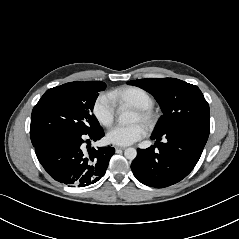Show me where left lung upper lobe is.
<instances>
[{"instance_id": "left-lung-upper-lobe-1", "label": "left lung upper lobe", "mask_w": 239, "mask_h": 239, "mask_svg": "<svg viewBox=\"0 0 239 239\" xmlns=\"http://www.w3.org/2000/svg\"><path fill=\"white\" fill-rule=\"evenodd\" d=\"M152 94L160 104L163 116L154 134L177 128H200L210 131L209 105L200 89L174 78L139 79L127 82Z\"/></svg>"}]
</instances>
